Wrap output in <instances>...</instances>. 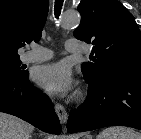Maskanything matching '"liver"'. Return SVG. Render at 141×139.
I'll return each mask as SVG.
<instances>
[{"instance_id":"1","label":"liver","mask_w":141,"mask_h":139,"mask_svg":"<svg viewBox=\"0 0 141 139\" xmlns=\"http://www.w3.org/2000/svg\"><path fill=\"white\" fill-rule=\"evenodd\" d=\"M33 130L31 124L0 112V139H30Z\"/></svg>"}]
</instances>
